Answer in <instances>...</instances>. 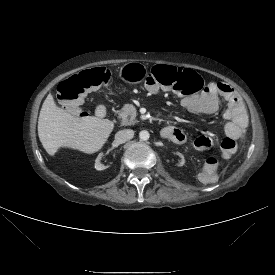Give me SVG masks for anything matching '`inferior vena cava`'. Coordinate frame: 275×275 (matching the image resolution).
<instances>
[{"instance_id":"inferior-vena-cava-1","label":"inferior vena cava","mask_w":275,"mask_h":275,"mask_svg":"<svg viewBox=\"0 0 275 275\" xmlns=\"http://www.w3.org/2000/svg\"><path fill=\"white\" fill-rule=\"evenodd\" d=\"M133 136H134V131L131 129L120 130L115 134V142H117L118 144H122L132 139Z\"/></svg>"}]
</instances>
